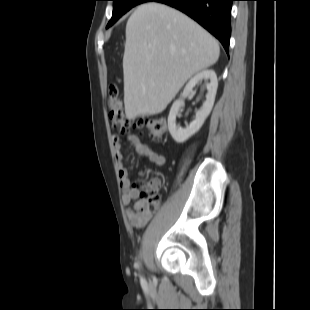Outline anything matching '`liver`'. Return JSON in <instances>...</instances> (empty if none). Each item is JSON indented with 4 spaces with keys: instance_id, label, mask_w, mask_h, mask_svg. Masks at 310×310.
I'll return each mask as SVG.
<instances>
[{
    "instance_id": "liver-1",
    "label": "liver",
    "mask_w": 310,
    "mask_h": 310,
    "mask_svg": "<svg viewBox=\"0 0 310 310\" xmlns=\"http://www.w3.org/2000/svg\"><path fill=\"white\" fill-rule=\"evenodd\" d=\"M219 54L216 39L183 13L155 2L140 5L126 25L127 119L163 112L185 82L215 64Z\"/></svg>"
}]
</instances>
